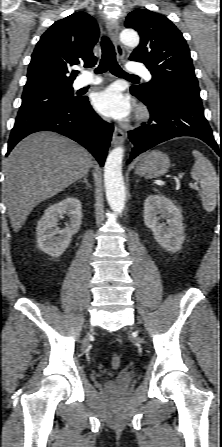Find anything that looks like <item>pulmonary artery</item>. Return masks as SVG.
Here are the masks:
<instances>
[{
	"label": "pulmonary artery",
	"instance_id": "1",
	"mask_svg": "<svg viewBox=\"0 0 222 447\" xmlns=\"http://www.w3.org/2000/svg\"><path fill=\"white\" fill-rule=\"evenodd\" d=\"M128 73L134 75H142L147 79H151L149 70L141 63L131 62L128 66ZM102 82L100 77H94L89 72L83 73L82 76L73 82L74 89H80L87 86H96Z\"/></svg>",
	"mask_w": 222,
	"mask_h": 447
}]
</instances>
